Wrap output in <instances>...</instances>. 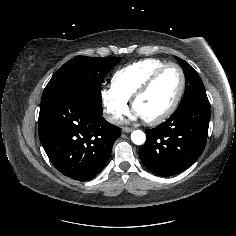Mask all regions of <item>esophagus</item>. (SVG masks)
<instances>
[{
    "mask_svg": "<svg viewBox=\"0 0 236 236\" xmlns=\"http://www.w3.org/2000/svg\"><path fill=\"white\" fill-rule=\"evenodd\" d=\"M122 131L125 132V133H129V132L132 131V128H130V127H123Z\"/></svg>",
    "mask_w": 236,
    "mask_h": 236,
    "instance_id": "1",
    "label": "esophagus"
}]
</instances>
